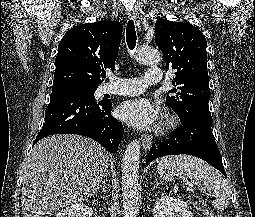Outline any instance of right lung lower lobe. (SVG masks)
<instances>
[{"mask_svg":"<svg viewBox=\"0 0 255 217\" xmlns=\"http://www.w3.org/2000/svg\"><path fill=\"white\" fill-rule=\"evenodd\" d=\"M112 103L87 97L82 93L53 91L45 111V123L33 144L52 134H78L117 152L123 126L110 113Z\"/></svg>","mask_w":255,"mask_h":217,"instance_id":"right-lung-lower-lobe-1","label":"right lung lower lobe"}]
</instances>
